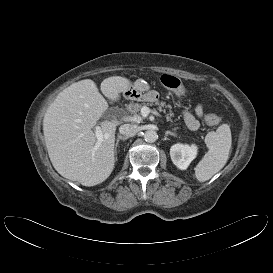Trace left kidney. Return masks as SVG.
Listing matches in <instances>:
<instances>
[{
    "instance_id": "obj_1",
    "label": "left kidney",
    "mask_w": 273,
    "mask_h": 273,
    "mask_svg": "<svg viewBox=\"0 0 273 273\" xmlns=\"http://www.w3.org/2000/svg\"><path fill=\"white\" fill-rule=\"evenodd\" d=\"M198 148L195 144L177 143L170 149V157L172 162L181 170L188 168L189 164L197 155Z\"/></svg>"
}]
</instances>
